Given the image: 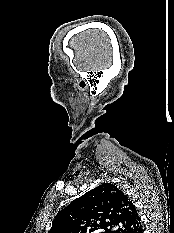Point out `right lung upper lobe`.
Segmentation results:
<instances>
[{"label": "right lung upper lobe", "mask_w": 174, "mask_h": 233, "mask_svg": "<svg viewBox=\"0 0 174 233\" xmlns=\"http://www.w3.org/2000/svg\"><path fill=\"white\" fill-rule=\"evenodd\" d=\"M140 217L130 199L111 183H103L73 200L55 217L49 233H136Z\"/></svg>", "instance_id": "cb5924a9"}]
</instances>
